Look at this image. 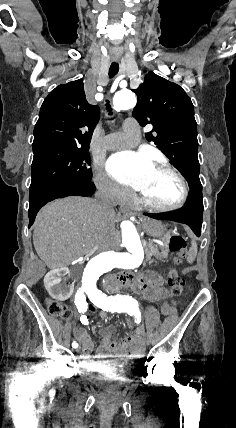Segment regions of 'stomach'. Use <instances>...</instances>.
<instances>
[{
  "mask_svg": "<svg viewBox=\"0 0 236 428\" xmlns=\"http://www.w3.org/2000/svg\"><path fill=\"white\" fill-rule=\"evenodd\" d=\"M147 230L149 232V236H154V238H159V236H162L164 232V228L161 226L160 222L152 224V226H147Z\"/></svg>",
  "mask_w": 236,
  "mask_h": 428,
  "instance_id": "obj_1",
  "label": "stomach"
}]
</instances>
